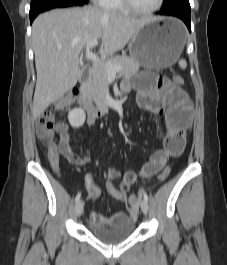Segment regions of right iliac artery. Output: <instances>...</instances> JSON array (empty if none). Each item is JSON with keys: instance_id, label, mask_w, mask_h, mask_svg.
Returning a JSON list of instances; mask_svg holds the SVG:
<instances>
[{"instance_id": "right-iliac-artery-1", "label": "right iliac artery", "mask_w": 227, "mask_h": 265, "mask_svg": "<svg viewBox=\"0 0 227 265\" xmlns=\"http://www.w3.org/2000/svg\"><path fill=\"white\" fill-rule=\"evenodd\" d=\"M81 193L79 192L75 197V202H78L80 200Z\"/></svg>"}]
</instances>
